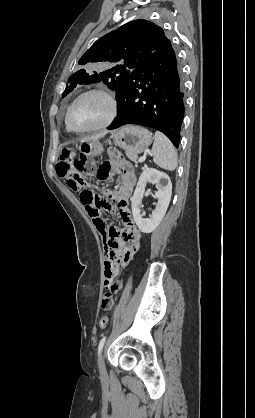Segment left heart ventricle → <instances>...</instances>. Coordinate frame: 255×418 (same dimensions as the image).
Here are the masks:
<instances>
[{"label":"left heart ventricle","instance_id":"b2bd125f","mask_svg":"<svg viewBox=\"0 0 255 418\" xmlns=\"http://www.w3.org/2000/svg\"><path fill=\"white\" fill-rule=\"evenodd\" d=\"M109 112L107 100L97 94L81 98L70 114V124L75 129H86L105 120Z\"/></svg>","mask_w":255,"mask_h":418}]
</instances>
